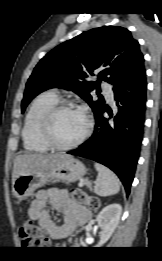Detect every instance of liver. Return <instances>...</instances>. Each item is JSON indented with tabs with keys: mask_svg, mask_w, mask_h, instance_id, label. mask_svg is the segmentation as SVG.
Listing matches in <instances>:
<instances>
[{
	"mask_svg": "<svg viewBox=\"0 0 162 261\" xmlns=\"http://www.w3.org/2000/svg\"><path fill=\"white\" fill-rule=\"evenodd\" d=\"M67 155L59 154H23L19 155L14 160L12 172V184L18 176L24 173H31L37 171H47L54 167V165L65 158Z\"/></svg>",
	"mask_w": 162,
	"mask_h": 261,
	"instance_id": "1",
	"label": "liver"
}]
</instances>
